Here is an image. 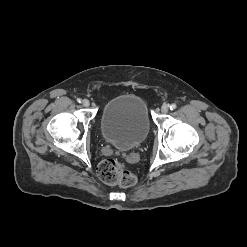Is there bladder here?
<instances>
[{
	"mask_svg": "<svg viewBox=\"0 0 247 247\" xmlns=\"http://www.w3.org/2000/svg\"><path fill=\"white\" fill-rule=\"evenodd\" d=\"M104 139L119 150L141 144L150 131V118L144 99L124 94L109 100L100 119Z\"/></svg>",
	"mask_w": 247,
	"mask_h": 247,
	"instance_id": "31cf9c89",
	"label": "bladder"
}]
</instances>
